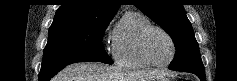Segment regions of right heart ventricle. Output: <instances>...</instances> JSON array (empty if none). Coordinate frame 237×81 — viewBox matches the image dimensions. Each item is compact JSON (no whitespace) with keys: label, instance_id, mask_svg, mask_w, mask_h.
<instances>
[{"label":"right heart ventricle","instance_id":"1","mask_svg":"<svg viewBox=\"0 0 237 81\" xmlns=\"http://www.w3.org/2000/svg\"><path fill=\"white\" fill-rule=\"evenodd\" d=\"M149 26L150 20L140 12L129 11L123 15L112 41L113 56L117 63L131 68L149 66L140 52L141 35Z\"/></svg>","mask_w":237,"mask_h":81}]
</instances>
